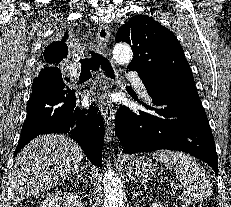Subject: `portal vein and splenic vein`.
<instances>
[{
	"label": "portal vein and splenic vein",
	"mask_w": 231,
	"mask_h": 207,
	"mask_svg": "<svg viewBox=\"0 0 231 207\" xmlns=\"http://www.w3.org/2000/svg\"><path fill=\"white\" fill-rule=\"evenodd\" d=\"M173 189H176V186L172 185Z\"/></svg>",
	"instance_id": "portal-vein-and-splenic-vein-1"
}]
</instances>
